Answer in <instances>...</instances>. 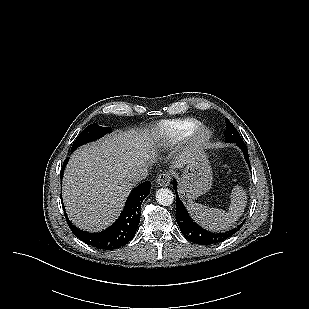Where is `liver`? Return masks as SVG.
<instances>
[{
    "label": "liver",
    "instance_id": "obj_1",
    "mask_svg": "<svg viewBox=\"0 0 309 309\" xmlns=\"http://www.w3.org/2000/svg\"><path fill=\"white\" fill-rule=\"evenodd\" d=\"M155 132L119 131L77 149L63 179V201L71 221L81 229L100 231L119 216L135 182L130 174L155 161ZM186 150L173 168L186 164Z\"/></svg>",
    "mask_w": 309,
    "mask_h": 309
}]
</instances>
